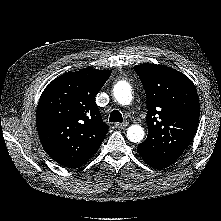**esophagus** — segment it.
<instances>
[{
  "mask_svg": "<svg viewBox=\"0 0 221 221\" xmlns=\"http://www.w3.org/2000/svg\"><path fill=\"white\" fill-rule=\"evenodd\" d=\"M127 126H128V122H127V121L122 122V123H116V124H115V127H116V128H125V127H127Z\"/></svg>",
  "mask_w": 221,
  "mask_h": 221,
  "instance_id": "34e87169",
  "label": "esophagus"
}]
</instances>
